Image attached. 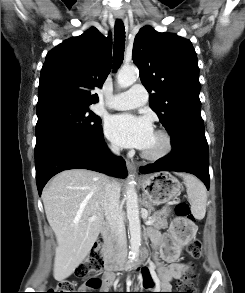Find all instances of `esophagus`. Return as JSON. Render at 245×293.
I'll return each instance as SVG.
<instances>
[{
	"label": "esophagus",
	"instance_id": "esophagus-1",
	"mask_svg": "<svg viewBox=\"0 0 245 293\" xmlns=\"http://www.w3.org/2000/svg\"><path fill=\"white\" fill-rule=\"evenodd\" d=\"M117 18L122 19L123 17L122 16H117ZM126 166H127V169H128V171L130 173H132V174H135L136 173L137 167H136V165L133 162H131L129 160H126Z\"/></svg>",
	"mask_w": 245,
	"mask_h": 293
}]
</instances>
